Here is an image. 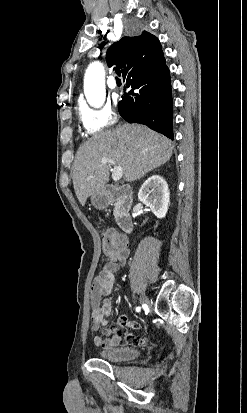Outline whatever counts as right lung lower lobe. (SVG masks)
Instances as JSON below:
<instances>
[{"label": "right lung lower lobe", "mask_w": 247, "mask_h": 413, "mask_svg": "<svg viewBox=\"0 0 247 413\" xmlns=\"http://www.w3.org/2000/svg\"><path fill=\"white\" fill-rule=\"evenodd\" d=\"M126 85L132 90L123 95L118 104L123 119L147 125L173 140V102L166 63L141 75L127 77Z\"/></svg>", "instance_id": "1"}]
</instances>
